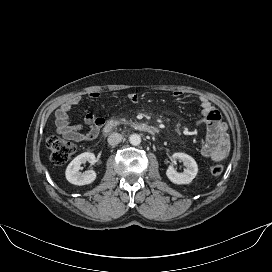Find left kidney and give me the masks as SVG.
<instances>
[{
    "instance_id": "left-kidney-1",
    "label": "left kidney",
    "mask_w": 272,
    "mask_h": 272,
    "mask_svg": "<svg viewBox=\"0 0 272 272\" xmlns=\"http://www.w3.org/2000/svg\"><path fill=\"white\" fill-rule=\"evenodd\" d=\"M181 160L186 168L183 172H177L172 166L166 171L168 179L175 184H189L197 175L198 166L196 161L185 153H174L172 161Z\"/></svg>"
}]
</instances>
